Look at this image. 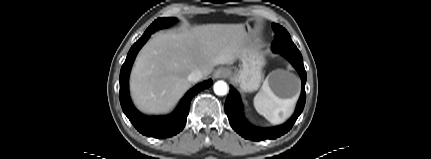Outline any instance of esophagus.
<instances>
[{
  "instance_id": "obj_1",
  "label": "esophagus",
  "mask_w": 431,
  "mask_h": 159,
  "mask_svg": "<svg viewBox=\"0 0 431 159\" xmlns=\"http://www.w3.org/2000/svg\"><path fill=\"white\" fill-rule=\"evenodd\" d=\"M229 74V70L225 67H220L217 70H215L213 77L215 79L224 78Z\"/></svg>"
}]
</instances>
